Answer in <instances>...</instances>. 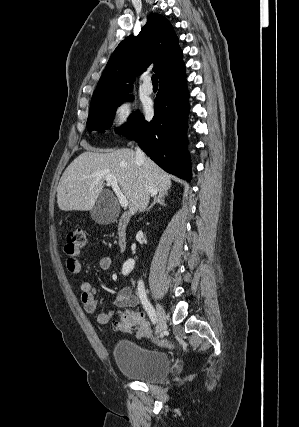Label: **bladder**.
Listing matches in <instances>:
<instances>
[{"label": "bladder", "instance_id": "obj_1", "mask_svg": "<svg viewBox=\"0 0 299 427\" xmlns=\"http://www.w3.org/2000/svg\"><path fill=\"white\" fill-rule=\"evenodd\" d=\"M113 354L119 371L140 382H160L171 370L167 354L143 348L130 340H119L114 346Z\"/></svg>", "mask_w": 299, "mask_h": 427}]
</instances>
